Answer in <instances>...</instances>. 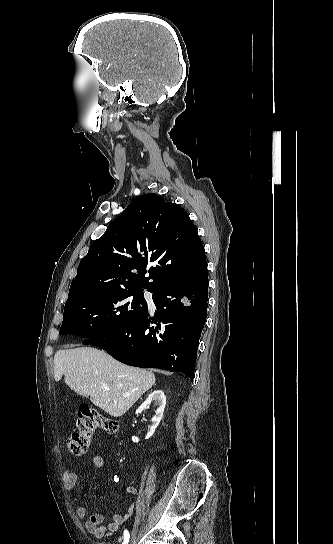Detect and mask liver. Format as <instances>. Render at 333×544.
<instances>
[{
	"mask_svg": "<svg viewBox=\"0 0 333 544\" xmlns=\"http://www.w3.org/2000/svg\"><path fill=\"white\" fill-rule=\"evenodd\" d=\"M65 383L81 396L113 417H120L156 381L152 372L127 366L106 352L92 347L64 349L54 356V379ZM104 386H109L106 391ZM129 394L124 397L123 395Z\"/></svg>",
	"mask_w": 333,
	"mask_h": 544,
	"instance_id": "1",
	"label": "liver"
}]
</instances>
